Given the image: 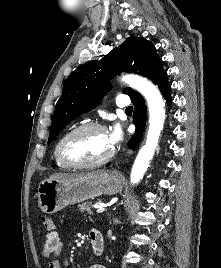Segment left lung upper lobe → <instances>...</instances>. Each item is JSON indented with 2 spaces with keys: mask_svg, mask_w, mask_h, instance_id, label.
Returning a JSON list of instances; mask_svg holds the SVG:
<instances>
[{
  "mask_svg": "<svg viewBox=\"0 0 221 268\" xmlns=\"http://www.w3.org/2000/svg\"><path fill=\"white\" fill-rule=\"evenodd\" d=\"M123 71L145 76L156 85L166 78L153 44L142 37L127 38L100 61L83 64L66 79L56 104L48 143L75 117L95 108L111 89L109 79ZM124 93L131 99L139 95L131 88L124 89Z\"/></svg>",
  "mask_w": 221,
  "mask_h": 268,
  "instance_id": "obj_1",
  "label": "left lung upper lobe"
}]
</instances>
